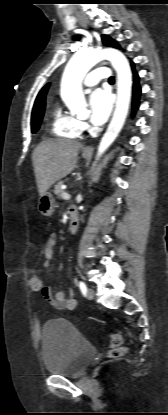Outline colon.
Wrapping results in <instances>:
<instances>
[{
  "label": "colon",
  "instance_id": "5ec220e1",
  "mask_svg": "<svg viewBox=\"0 0 168 415\" xmlns=\"http://www.w3.org/2000/svg\"><path fill=\"white\" fill-rule=\"evenodd\" d=\"M35 268L39 269L40 265L36 264ZM29 288L31 289L32 294L40 293V291L43 289L41 274L35 272L29 276ZM109 341L111 348L108 352V356L110 358H118L125 353L126 349L122 346V338L119 334L111 333L109 336Z\"/></svg>",
  "mask_w": 168,
  "mask_h": 415
}]
</instances>
